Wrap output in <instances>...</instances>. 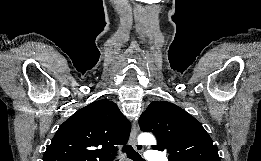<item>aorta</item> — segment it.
I'll use <instances>...</instances> for the list:
<instances>
[{
    "instance_id": "1",
    "label": "aorta",
    "mask_w": 261,
    "mask_h": 161,
    "mask_svg": "<svg viewBox=\"0 0 261 161\" xmlns=\"http://www.w3.org/2000/svg\"><path fill=\"white\" fill-rule=\"evenodd\" d=\"M138 142L142 145H153L156 143V140L152 134L142 133L138 137Z\"/></svg>"
}]
</instances>
